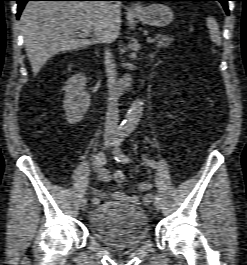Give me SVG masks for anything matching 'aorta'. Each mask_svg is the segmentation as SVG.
I'll return each instance as SVG.
<instances>
[{
  "label": "aorta",
  "mask_w": 247,
  "mask_h": 265,
  "mask_svg": "<svg viewBox=\"0 0 247 265\" xmlns=\"http://www.w3.org/2000/svg\"><path fill=\"white\" fill-rule=\"evenodd\" d=\"M143 112V102L136 99L128 110L125 119L123 120L120 129L123 132H132L140 121Z\"/></svg>",
  "instance_id": "762f6f07"
}]
</instances>
